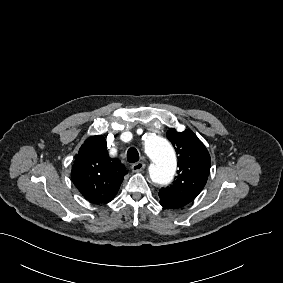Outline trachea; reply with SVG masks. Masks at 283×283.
Here are the masks:
<instances>
[{"label": "trachea", "instance_id": "obj_1", "mask_svg": "<svg viewBox=\"0 0 283 283\" xmlns=\"http://www.w3.org/2000/svg\"><path fill=\"white\" fill-rule=\"evenodd\" d=\"M139 159H140V156H139L138 150L134 147L129 148L127 151V161L129 163H135L139 161Z\"/></svg>", "mask_w": 283, "mask_h": 283}]
</instances>
